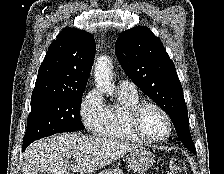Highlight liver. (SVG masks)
<instances>
[{
  "label": "liver",
  "mask_w": 224,
  "mask_h": 174,
  "mask_svg": "<svg viewBox=\"0 0 224 174\" xmlns=\"http://www.w3.org/2000/svg\"><path fill=\"white\" fill-rule=\"evenodd\" d=\"M139 145L126 142L64 133L40 139L23 153V174L92 173ZM69 160H73L71 167Z\"/></svg>",
  "instance_id": "liver-1"
}]
</instances>
